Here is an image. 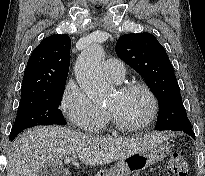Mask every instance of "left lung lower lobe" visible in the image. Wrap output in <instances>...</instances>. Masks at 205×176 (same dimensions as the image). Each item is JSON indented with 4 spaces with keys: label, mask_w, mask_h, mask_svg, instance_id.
Wrapping results in <instances>:
<instances>
[{
    "label": "left lung lower lobe",
    "mask_w": 205,
    "mask_h": 176,
    "mask_svg": "<svg viewBox=\"0 0 205 176\" xmlns=\"http://www.w3.org/2000/svg\"><path fill=\"white\" fill-rule=\"evenodd\" d=\"M177 131H182V132H184V133L190 135L193 139H195V134H194L192 128L179 129V130H177Z\"/></svg>",
    "instance_id": "1"
}]
</instances>
